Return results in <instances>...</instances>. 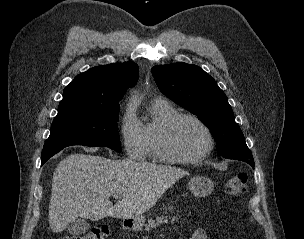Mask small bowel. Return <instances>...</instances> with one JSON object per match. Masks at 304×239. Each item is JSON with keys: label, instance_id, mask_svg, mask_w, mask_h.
I'll list each match as a JSON object with an SVG mask.
<instances>
[{"label": "small bowel", "instance_id": "obj_1", "mask_svg": "<svg viewBox=\"0 0 304 239\" xmlns=\"http://www.w3.org/2000/svg\"><path fill=\"white\" fill-rule=\"evenodd\" d=\"M189 239H207L206 233L202 229H196Z\"/></svg>", "mask_w": 304, "mask_h": 239}]
</instances>
